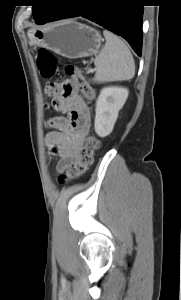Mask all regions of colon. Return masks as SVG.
Wrapping results in <instances>:
<instances>
[{
    "mask_svg": "<svg viewBox=\"0 0 181 300\" xmlns=\"http://www.w3.org/2000/svg\"><path fill=\"white\" fill-rule=\"evenodd\" d=\"M38 68L41 76L49 80L45 86V96L47 98L55 97L66 90V84L62 80H54L59 73V62L57 57L46 49H41L38 52ZM66 74L72 79V83L76 89H79L84 97L92 100L95 96L94 90L87 83L82 69L67 65L65 68ZM100 147V142L95 136H89L79 152L78 158L70 163L65 170L59 175V182L65 183L70 180L81 177L93 162L94 153Z\"/></svg>",
    "mask_w": 181,
    "mask_h": 300,
    "instance_id": "obj_1",
    "label": "colon"
}]
</instances>
